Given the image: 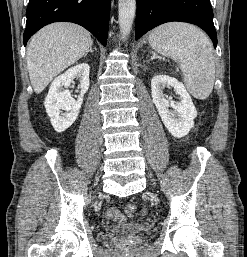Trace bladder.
<instances>
[{
	"label": "bladder",
	"instance_id": "1",
	"mask_svg": "<svg viewBox=\"0 0 247 257\" xmlns=\"http://www.w3.org/2000/svg\"><path fill=\"white\" fill-rule=\"evenodd\" d=\"M148 227L143 224L126 223L119 224L110 229V232L115 236L121 237H136L145 234Z\"/></svg>",
	"mask_w": 247,
	"mask_h": 257
}]
</instances>
